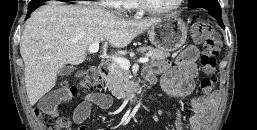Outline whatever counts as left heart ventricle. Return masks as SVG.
<instances>
[{"label": "left heart ventricle", "mask_w": 257, "mask_h": 130, "mask_svg": "<svg viewBox=\"0 0 257 130\" xmlns=\"http://www.w3.org/2000/svg\"><path fill=\"white\" fill-rule=\"evenodd\" d=\"M146 2L155 8H165L174 4L176 0H146Z\"/></svg>", "instance_id": "1"}]
</instances>
